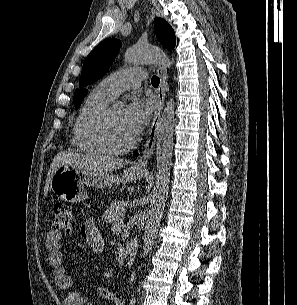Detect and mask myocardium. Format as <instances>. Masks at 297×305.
<instances>
[{
  "mask_svg": "<svg viewBox=\"0 0 297 305\" xmlns=\"http://www.w3.org/2000/svg\"><path fill=\"white\" fill-rule=\"evenodd\" d=\"M111 110L112 108L106 107L92 119L89 125V133L104 152L113 155L123 154L135 145L136 140L132 139L124 146H114L110 143L107 137L106 126Z\"/></svg>",
  "mask_w": 297,
  "mask_h": 305,
  "instance_id": "obj_1",
  "label": "myocardium"
}]
</instances>
